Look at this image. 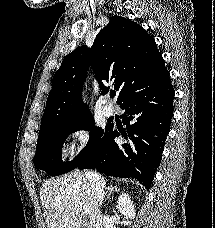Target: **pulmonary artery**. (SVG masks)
<instances>
[{"mask_svg": "<svg viewBox=\"0 0 215 228\" xmlns=\"http://www.w3.org/2000/svg\"><path fill=\"white\" fill-rule=\"evenodd\" d=\"M103 114L106 117H110L114 114V107H113L112 99L110 98V96H107L105 98V106L103 107Z\"/></svg>", "mask_w": 215, "mask_h": 228, "instance_id": "pulmonary-artery-1", "label": "pulmonary artery"}]
</instances>
